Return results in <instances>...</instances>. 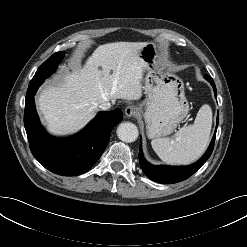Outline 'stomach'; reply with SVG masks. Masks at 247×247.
I'll list each match as a JSON object with an SVG mask.
<instances>
[{
	"label": "stomach",
	"mask_w": 247,
	"mask_h": 247,
	"mask_svg": "<svg viewBox=\"0 0 247 247\" xmlns=\"http://www.w3.org/2000/svg\"><path fill=\"white\" fill-rule=\"evenodd\" d=\"M139 56L148 65L143 81L146 99L139 105L147 136L150 139L167 136L189 112L184 83L180 77L161 66L159 45L148 42Z\"/></svg>",
	"instance_id": "stomach-1"
}]
</instances>
